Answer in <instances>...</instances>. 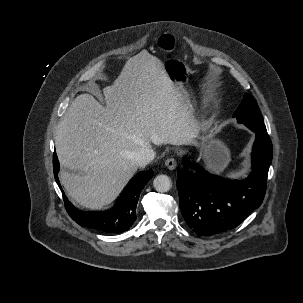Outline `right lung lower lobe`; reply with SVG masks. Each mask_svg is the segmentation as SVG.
<instances>
[{
	"label": "right lung lower lobe",
	"instance_id": "right-lung-lower-lobe-1",
	"mask_svg": "<svg viewBox=\"0 0 303 303\" xmlns=\"http://www.w3.org/2000/svg\"><path fill=\"white\" fill-rule=\"evenodd\" d=\"M53 171L55 180L61 189L58 179L59 161L53 155ZM153 171L138 173L127 184L113 209L104 212H85L75 208L63 194L64 204L70 217L79 225L107 233H120L128 230L136 220V206L140 192L152 178ZM63 192V190L61 189Z\"/></svg>",
	"mask_w": 303,
	"mask_h": 303
}]
</instances>
